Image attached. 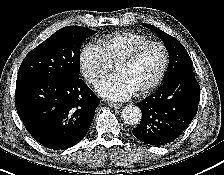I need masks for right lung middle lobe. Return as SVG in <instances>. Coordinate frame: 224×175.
<instances>
[{
  "label": "right lung middle lobe",
  "instance_id": "1",
  "mask_svg": "<svg viewBox=\"0 0 224 175\" xmlns=\"http://www.w3.org/2000/svg\"><path fill=\"white\" fill-rule=\"evenodd\" d=\"M96 31L68 26L56 31L23 60L18 76L41 75L57 79H78L80 48Z\"/></svg>",
  "mask_w": 224,
  "mask_h": 175
}]
</instances>
